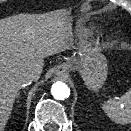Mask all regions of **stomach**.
<instances>
[{"mask_svg":"<svg viewBox=\"0 0 131 131\" xmlns=\"http://www.w3.org/2000/svg\"><path fill=\"white\" fill-rule=\"evenodd\" d=\"M73 68L79 70L85 85L92 91H97L104 85L108 74L106 58L99 50L86 54Z\"/></svg>","mask_w":131,"mask_h":131,"instance_id":"0dacf381","label":"stomach"}]
</instances>
